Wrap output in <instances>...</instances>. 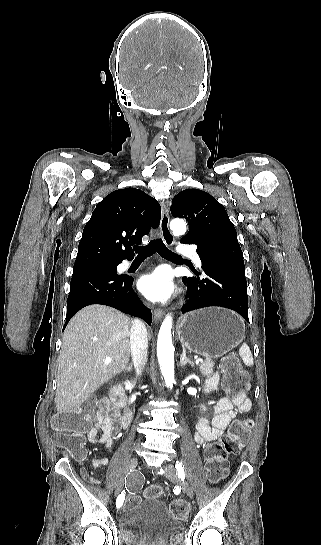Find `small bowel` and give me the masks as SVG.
<instances>
[{"label":"small bowel","mask_w":321,"mask_h":545,"mask_svg":"<svg viewBox=\"0 0 321 545\" xmlns=\"http://www.w3.org/2000/svg\"><path fill=\"white\" fill-rule=\"evenodd\" d=\"M219 375L212 374L204 384V393H208L218 387ZM251 401L241 394L220 399L210 409L209 415L200 419L196 425L194 433L195 441L204 445L219 438L227 426L241 413H246L251 409ZM119 432V426L103 412H99L95 419V424L88 432L87 436L90 442L106 445L109 449L113 447L114 437ZM109 460L106 458L94 459L92 465L94 468L107 466ZM83 476L90 479L85 470Z\"/></svg>","instance_id":"1"}]
</instances>
